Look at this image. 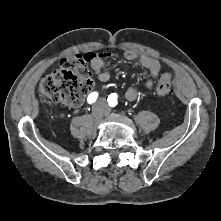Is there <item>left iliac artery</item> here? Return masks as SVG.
Segmentation results:
<instances>
[{
	"instance_id": "44dca946",
	"label": "left iliac artery",
	"mask_w": 221,
	"mask_h": 221,
	"mask_svg": "<svg viewBox=\"0 0 221 221\" xmlns=\"http://www.w3.org/2000/svg\"><path fill=\"white\" fill-rule=\"evenodd\" d=\"M117 98H118V96L116 93L110 94L107 99L109 106L115 107L118 104Z\"/></svg>"
}]
</instances>
